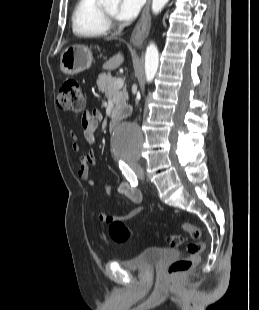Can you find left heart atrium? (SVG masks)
Returning <instances> with one entry per match:
<instances>
[{
  "label": "left heart atrium",
  "mask_w": 259,
  "mask_h": 310,
  "mask_svg": "<svg viewBox=\"0 0 259 310\" xmlns=\"http://www.w3.org/2000/svg\"><path fill=\"white\" fill-rule=\"evenodd\" d=\"M144 0H121L116 17L121 21H131L139 14Z\"/></svg>",
  "instance_id": "obj_1"
}]
</instances>
